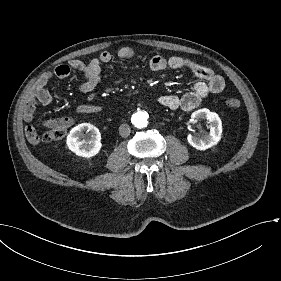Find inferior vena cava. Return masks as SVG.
I'll list each match as a JSON object with an SVG mask.
<instances>
[{"instance_id": "602c4592", "label": "inferior vena cava", "mask_w": 281, "mask_h": 281, "mask_svg": "<svg viewBox=\"0 0 281 281\" xmlns=\"http://www.w3.org/2000/svg\"><path fill=\"white\" fill-rule=\"evenodd\" d=\"M130 127L128 124H121L119 127V134L122 137H128L130 134Z\"/></svg>"}]
</instances>
